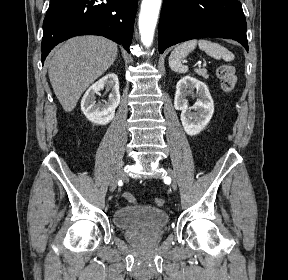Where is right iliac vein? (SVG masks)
Returning a JSON list of instances; mask_svg holds the SVG:
<instances>
[{
	"instance_id": "right-iliac-vein-1",
	"label": "right iliac vein",
	"mask_w": 288,
	"mask_h": 280,
	"mask_svg": "<svg viewBox=\"0 0 288 280\" xmlns=\"http://www.w3.org/2000/svg\"><path fill=\"white\" fill-rule=\"evenodd\" d=\"M125 177H126V174H125L124 170H119L116 173V175L113 177V179L110 183V191L113 192L116 189L118 182L120 180H123Z\"/></svg>"
}]
</instances>
